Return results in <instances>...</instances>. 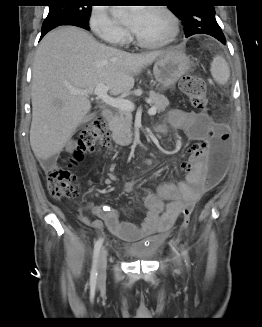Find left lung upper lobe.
Wrapping results in <instances>:
<instances>
[{
  "label": "left lung upper lobe",
  "instance_id": "obj_1",
  "mask_svg": "<svg viewBox=\"0 0 262 327\" xmlns=\"http://www.w3.org/2000/svg\"><path fill=\"white\" fill-rule=\"evenodd\" d=\"M170 3L169 9L182 20L185 35L221 30L215 19L214 6L208 4V0H170Z\"/></svg>",
  "mask_w": 262,
  "mask_h": 327
}]
</instances>
